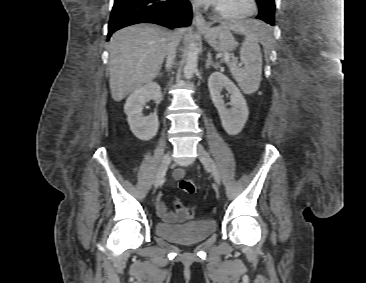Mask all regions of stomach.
<instances>
[{"label": "stomach", "instance_id": "obj_1", "mask_svg": "<svg viewBox=\"0 0 366 283\" xmlns=\"http://www.w3.org/2000/svg\"><path fill=\"white\" fill-rule=\"evenodd\" d=\"M201 34L206 42L219 53L225 54L237 46V42L230 31L222 26L208 28L206 31H201Z\"/></svg>", "mask_w": 366, "mask_h": 283}]
</instances>
